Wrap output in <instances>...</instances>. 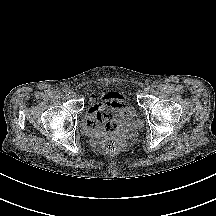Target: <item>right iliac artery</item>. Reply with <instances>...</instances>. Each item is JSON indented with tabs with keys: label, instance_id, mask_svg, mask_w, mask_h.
<instances>
[{
	"label": "right iliac artery",
	"instance_id": "right-iliac-artery-1",
	"mask_svg": "<svg viewBox=\"0 0 216 216\" xmlns=\"http://www.w3.org/2000/svg\"><path fill=\"white\" fill-rule=\"evenodd\" d=\"M64 92L69 95L71 92H70V89H65Z\"/></svg>",
	"mask_w": 216,
	"mask_h": 216
}]
</instances>
